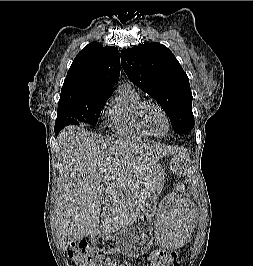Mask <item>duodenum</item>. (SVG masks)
<instances>
[{
    "mask_svg": "<svg viewBox=\"0 0 253 266\" xmlns=\"http://www.w3.org/2000/svg\"><path fill=\"white\" fill-rule=\"evenodd\" d=\"M103 237L101 235H97L95 236V239L98 241V240H101Z\"/></svg>",
    "mask_w": 253,
    "mask_h": 266,
    "instance_id": "obj_1",
    "label": "duodenum"
}]
</instances>
